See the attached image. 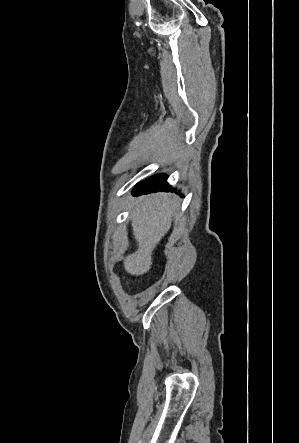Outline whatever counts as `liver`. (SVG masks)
<instances>
[{"mask_svg": "<svg viewBox=\"0 0 299 443\" xmlns=\"http://www.w3.org/2000/svg\"><path fill=\"white\" fill-rule=\"evenodd\" d=\"M178 210L179 201L172 194L156 193L139 199L131 218L138 249L124 259L129 274L139 276L150 270L152 252L171 228Z\"/></svg>", "mask_w": 299, "mask_h": 443, "instance_id": "6515ba94", "label": "liver"}]
</instances>
